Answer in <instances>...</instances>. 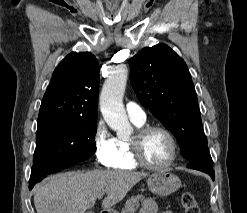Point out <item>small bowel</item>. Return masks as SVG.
I'll list each match as a JSON object with an SVG mask.
<instances>
[{
    "mask_svg": "<svg viewBox=\"0 0 247 213\" xmlns=\"http://www.w3.org/2000/svg\"><path fill=\"white\" fill-rule=\"evenodd\" d=\"M139 213H158L157 204L151 199H145L141 203ZM161 213H173L172 211H164Z\"/></svg>",
    "mask_w": 247,
    "mask_h": 213,
    "instance_id": "1",
    "label": "small bowel"
}]
</instances>
